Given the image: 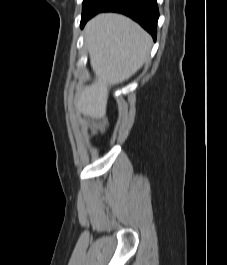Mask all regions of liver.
I'll use <instances>...</instances> for the list:
<instances>
[{
	"label": "liver",
	"instance_id": "liver-1",
	"mask_svg": "<svg viewBox=\"0 0 227 265\" xmlns=\"http://www.w3.org/2000/svg\"><path fill=\"white\" fill-rule=\"evenodd\" d=\"M85 44L96 80L76 94V108L92 118L106 114L109 88L128 80L147 61L151 36L130 18L103 13L85 27Z\"/></svg>",
	"mask_w": 227,
	"mask_h": 265
}]
</instances>
